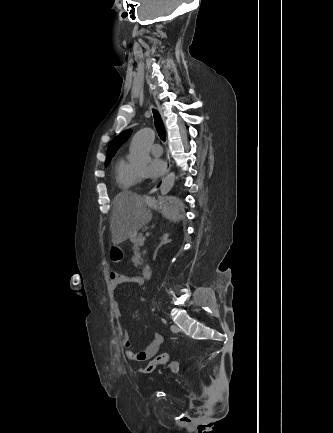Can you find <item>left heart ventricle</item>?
<instances>
[{
	"mask_svg": "<svg viewBox=\"0 0 333 433\" xmlns=\"http://www.w3.org/2000/svg\"><path fill=\"white\" fill-rule=\"evenodd\" d=\"M138 169H139V170H143V169H144V166L138 167Z\"/></svg>",
	"mask_w": 333,
	"mask_h": 433,
	"instance_id": "obj_1",
	"label": "left heart ventricle"
}]
</instances>
